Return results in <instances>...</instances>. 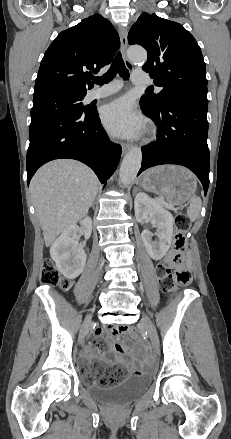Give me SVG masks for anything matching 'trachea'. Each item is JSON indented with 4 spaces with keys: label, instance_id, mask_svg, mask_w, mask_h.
<instances>
[{
    "label": "trachea",
    "instance_id": "1",
    "mask_svg": "<svg viewBox=\"0 0 231 439\" xmlns=\"http://www.w3.org/2000/svg\"><path fill=\"white\" fill-rule=\"evenodd\" d=\"M117 73L124 80L129 79L130 73L123 62V59H122L120 52L117 53L109 70L101 77H93L92 81H93V83H96L98 85H103V84L109 83L111 80H113V78L116 76ZM147 90L152 91V88H147Z\"/></svg>",
    "mask_w": 231,
    "mask_h": 439
}]
</instances>
